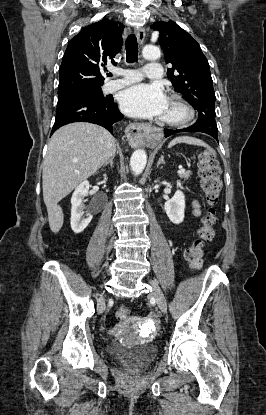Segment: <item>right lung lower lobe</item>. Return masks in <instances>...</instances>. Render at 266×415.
Wrapping results in <instances>:
<instances>
[{"label":"right lung lower lobe","mask_w":266,"mask_h":415,"mask_svg":"<svg viewBox=\"0 0 266 415\" xmlns=\"http://www.w3.org/2000/svg\"><path fill=\"white\" fill-rule=\"evenodd\" d=\"M124 116L119 112L113 99L104 102L90 100L58 101L53 134L58 128L72 122H90L106 128L113 134V125Z\"/></svg>","instance_id":"obj_1"}]
</instances>
